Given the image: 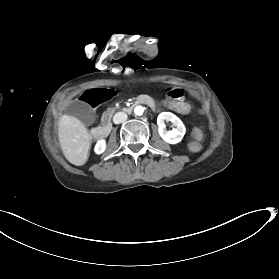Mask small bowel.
I'll list each match as a JSON object with an SVG mask.
<instances>
[{
	"instance_id": "small-bowel-1",
	"label": "small bowel",
	"mask_w": 279,
	"mask_h": 279,
	"mask_svg": "<svg viewBox=\"0 0 279 279\" xmlns=\"http://www.w3.org/2000/svg\"><path fill=\"white\" fill-rule=\"evenodd\" d=\"M166 93L169 99L178 101L184 98L186 94V90L183 87L180 86H173V85H168L165 87Z\"/></svg>"
}]
</instances>
